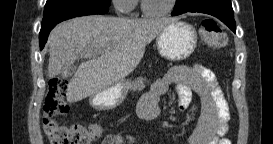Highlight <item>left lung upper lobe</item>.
<instances>
[{"label": "left lung upper lobe", "instance_id": "5c2ea615", "mask_svg": "<svg viewBox=\"0 0 273 144\" xmlns=\"http://www.w3.org/2000/svg\"><path fill=\"white\" fill-rule=\"evenodd\" d=\"M187 0H177L175 7H179L181 5H184Z\"/></svg>", "mask_w": 273, "mask_h": 144}]
</instances>
